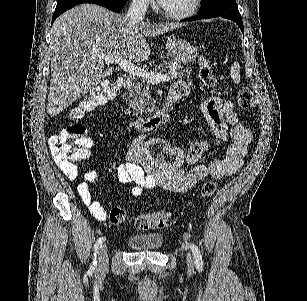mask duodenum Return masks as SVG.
Masks as SVG:
<instances>
[{"label": "duodenum", "instance_id": "duodenum-1", "mask_svg": "<svg viewBox=\"0 0 307 301\" xmlns=\"http://www.w3.org/2000/svg\"><path fill=\"white\" fill-rule=\"evenodd\" d=\"M123 86L126 92L129 93L134 87V81L131 78H126L123 81ZM179 99V96L170 93L166 99L164 107L157 111L154 115L144 119H137L133 117L135 127L139 130L146 131L165 123L169 118L170 110ZM124 111L127 115L133 116L127 99L125 101Z\"/></svg>", "mask_w": 307, "mask_h": 301}]
</instances>
